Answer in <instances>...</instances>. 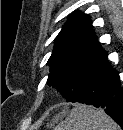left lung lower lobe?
I'll return each mask as SVG.
<instances>
[{"label": "left lung lower lobe", "mask_w": 123, "mask_h": 130, "mask_svg": "<svg viewBox=\"0 0 123 130\" xmlns=\"http://www.w3.org/2000/svg\"><path fill=\"white\" fill-rule=\"evenodd\" d=\"M76 102L103 108L123 129V88L117 71L107 61V52L89 73Z\"/></svg>", "instance_id": "left-lung-lower-lobe-1"}]
</instances>
